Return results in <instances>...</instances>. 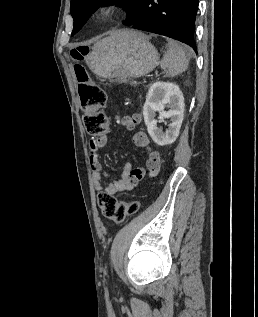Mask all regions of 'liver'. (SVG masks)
Segmentation results:
<instances>
[{
  "label": "liver",
  "mask_w": 258,
  "mask_h": 317,
  "mask_svg": "<svg viewBox=\"0 0 258 317\" xmlns=\"http://www.w3.org/2000/svg\"><path fill=\"white\" fill-rule=\"evenodd\" d=\"M119 34H121L120 30H114L111 36H106V38H116V36H119ZM102 40H105V38H102ZM98 42H100V40H98Z\"/></svg>",
  "instance_id": "6515ba94"
}]
</instances>
